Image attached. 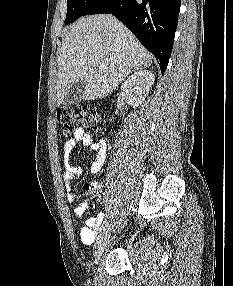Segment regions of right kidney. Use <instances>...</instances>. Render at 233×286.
I'll use <instances>...</instances> for the list:
<instances>
[{
  "instance_id": "1",
  "label": "right kidney",
  "mask_w": 233,
  "mask_h": 286,
  "mask_svg": "<svg viewBox=\"0 0 233 286\" xmlns=\"http://www.w3.org/2000/svg\"><path fill=\"white\" fill-rule=\"evenodd\" d=\"M154 84V74L149 70H140L123 83L121 90L126 101L133 108L142 104Z\"/></svg>"
}]
</instances>
